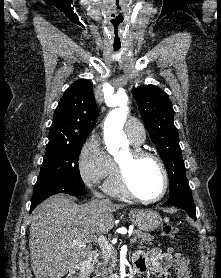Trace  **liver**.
<instances>
[{
  "label": "liver",
  "instance_id": "1",
  "mask_svg": "<svg viewBox=\"0 0 221 278\" xmlns=\"http://www.w3.org/2000/svg\"><path fill=\"white\" fill-rule=\"evenodd\" d=\"M124 207L105 200L78 205L73 197L55 195L32 213L29 234L31 267L35 278H62L91 252L85 240L106 234L114 226L113 212Z\"/></svg>",
  "mask_w": 221,
  "mask_h": 278
}]
</instances>
